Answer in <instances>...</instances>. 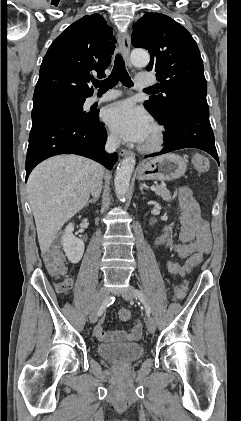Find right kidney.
<instances>
[{
	"mask_svg": "<svg viewBox=\"0 0 241 421\" xmlns=\"http://www.w3.org/2000/svg\"><path fill=\"white\" fill-rule=\"evenodd\" d=\"M73 231L74 224L69 223L66 226L64 235L62 237V245L68 260L71 263L76 264L81 260L85 246L81 239L73 235Z\"/></svg>",
	"mask_w": 241,
	"mask_h": 421,
	"instance_id": "ca27d5eb",
	"label": "right kidney"
}]
</instances>
